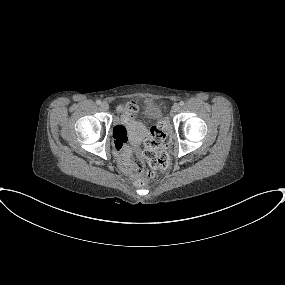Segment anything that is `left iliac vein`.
I'll list each match as a JSON object with an SVG mask.
<instances>
[{"label": "left iliac vein", "mask_w": 285, "mask_h": 285, "mask_svg": "<svg viewBox=\"0 0 285 285\" xmlns=\"http://www.w3.org/2000/svg\"><path fill=\"white\" fill-rule=\"evenodd\" d=\"M180 105L178 103L173 104L172 106V111L173 112H178L180 110Z\"/></svg>", "instance_id": "4c4485c4"}]
</instances>
